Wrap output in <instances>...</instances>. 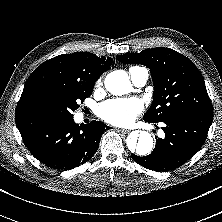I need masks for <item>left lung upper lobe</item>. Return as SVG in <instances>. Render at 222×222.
Returning a JSON list of instances; mask_svg holds the SVG:
<instances>
[{
	"instance_id": "left-lung-upper-lobe-1",
	"label": "left lung upper lobe",
	"mask_w": 222,
	"mask_h": 222,
	"mask_svg": "<svg viewBox=\"0 0 222 222\" xmlns=\"http://www.w3.org/2000/svg\"><path fill=\"white\" fill-rule=\"evenodd\" d=\"M125 64H142L150 69L154 94L153 102L144 114V120L158 123L169 116L183 112L213 114L204 79L184 55L165 47L143 50L140 53L118 55Z\"/></svg>"
}]
</instances>
